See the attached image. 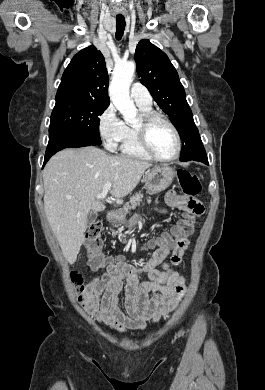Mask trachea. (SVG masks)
<instances>
[{
    "mask_svg": "<svg viewBox=\"0 0 265 390\" xmlns=\"http://www.w3.org/2000/svg\"><path fill=\"white\" fill-rule=\"evenodd\" d=\"M116 39L120 40L123 36L125 30V19L124 18H116Z\"/></svg>",
    "mask_w": 265,
    "mask_h": 390,
    "instance_id": "1",
    "label": "trachea"
}]
</instances>
